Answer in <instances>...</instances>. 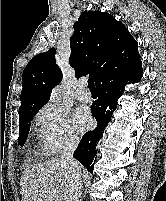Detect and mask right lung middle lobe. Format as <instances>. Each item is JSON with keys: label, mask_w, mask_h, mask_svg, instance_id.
<instances>
[{"label": "right lung middle lobe", "mask_w": 166, "mask_h": 201, "mask_svg": "<svg viewBox=\"0 0 166 201\" xmlns=\"http://www.w3.org/2000/svg\"><path fill=\"white\" fill-rule=\"evenodd\" d=\"M37 113L32 112L29 114H26L22 117H19V125H20V130H19V144L24 145L28 133H29V122L32 120L33 116Z\"/></svg>", "instance_id": "right-lung-middle-lobe-1"}]
</instances>
